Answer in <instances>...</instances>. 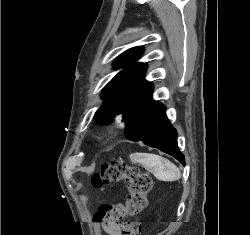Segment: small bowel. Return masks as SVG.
Listing matches in <instances>:
<instances>
[{
    "mask_svg": "<svg viewBox=\"0 0 250 235\" xmlns=\"http://www.w3.org/2000/svg\"><path fill=\"white\" fill-rule=\"evenodd\" d=\"M104 235H122L121 229L117 225H103Z\"/></svg>",
    "mask_w": 250,
    "mask_h": 235,
    "instance_id": "obj_1",
    "label": "small bowel"
}]
</instances>
